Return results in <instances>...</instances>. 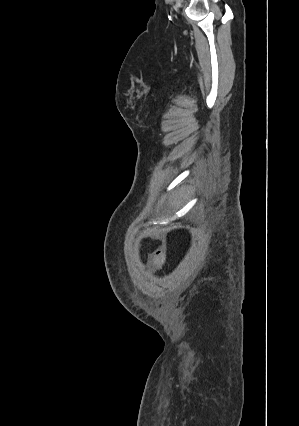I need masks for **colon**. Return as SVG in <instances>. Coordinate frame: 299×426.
I'll return each instance as SVG.
<instances>
[{"mask_svg": "<svg viewBox=\"0 0 299 426\" xmlns=\"http://www.w3.org/2000/svg\"><path fill=\"white\" fill-rule=\"evenodd\" d=\"M153 262L157 265V266H161L164 262V253L162 249L156 250L153 253Z\"/></svg>", "mask_w": 299, "mask_h": 426, "instance_id": "obj_1", "label": "colon"}]
</instances>
